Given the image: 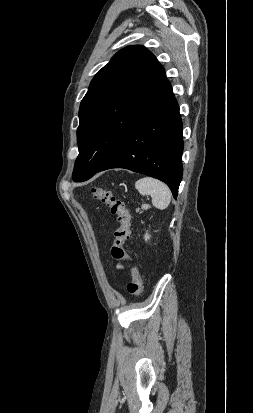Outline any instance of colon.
<instances>
[{
	"instance_id": "colon-1",
	"label": "colon",
	"mask_w": 253,
	"mask_h": 413,
	"mask_svg": "<svg viewBox=\"0 0 253 413\" xmlns=\"http://www.w3.org/2000/svg\"><path fill=\"white\" fill-rule=\"evenodd\" d=\"M91 192L96 200H99L110 209L118 223V228L114 232V241L110 248L112 259L116 261H130V257L124 248V245L130 238L131 232V215L129 210L123 201L116 198L107 190L92 187ZM131 276L132 280L128 284L127 289L131 294L139 296L143 290V283L139 269L135 264L131 265Z\"/></svg>"
}]
</instances>
